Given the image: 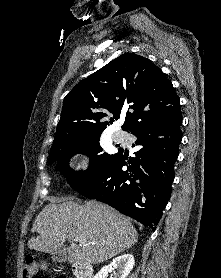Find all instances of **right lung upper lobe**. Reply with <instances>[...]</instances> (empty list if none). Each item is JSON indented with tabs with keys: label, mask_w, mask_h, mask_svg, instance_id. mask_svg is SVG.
Segmentation results:
<instances>
[{
	"label": "right lung upper lobe",
	"mask_w": 221,
	"mask_h": 278,
	"mask_svg": "<svg viewBox=\"0 0 221 278\" xmlns=\"http://www.w3.org/2000/svg\"><path fill=\"white\" fill-rule=\"evenodd\" d=\"M179 112V98L162 70L147 58L125 53L67 94L51 150L101 135L120 116H125L123 130L130 132Z\"/></svg>",
	"instance_id": "1"
}]
</instances>
